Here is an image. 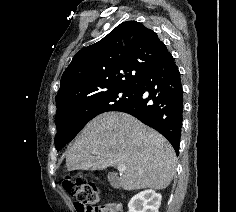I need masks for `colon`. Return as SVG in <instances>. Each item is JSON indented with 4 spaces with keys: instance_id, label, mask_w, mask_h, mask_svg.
<instances>
[{
    "instance_id": "obj_1",
    "label": "colon",
    "mask_w": 236,
    "mask_h": 212,
    "mask_svg": "<svg viewBox=\"0 0 236 212\" xmlns=\"http://www.w3.org/2000/svg\"><path fill=\"white\" fill-rule=\"evenodd\" d=\"M66 191L75 198L80 212H104L100 191L96 184L83 177H67L63 181Z\"/></svg>"
}]
</instances>
